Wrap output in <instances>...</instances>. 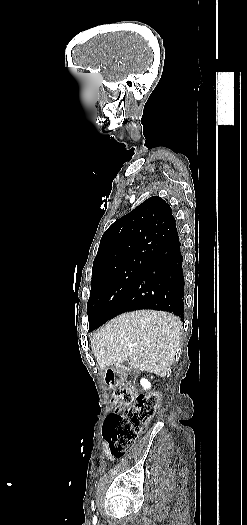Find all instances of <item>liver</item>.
<instances>
[{"mask_svg":"<svg viewBox=\"0 0 247 525\" xmlns=\"http://www.w3.org/2000/svg\"><path fill=\"white\" fill-rule=\"evenodd\" d=\"M182 323L165 311H132L111 319L91 339L101 369L131 361L134 369L168 375L179 349Z\"/></svg>","mask_w":247,"mask_h":525,"instance_id":"6515ba94","label":"liver"}]
</instances>
